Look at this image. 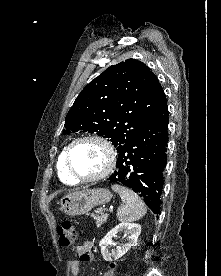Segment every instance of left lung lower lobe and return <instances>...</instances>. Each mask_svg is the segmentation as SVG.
Segmentation results:
<instances>
[{
  "instance_id": "1",
  "label": "left lung lower lobe",
  "mask_w": 221,
  "mask_h": 276,
  "mask_svg": "<svg viewBox=\"0 0 221 276\" xmlns=\"http://www.w3.org/2000/svg\"><path fill=\"white\" fill-rule=\"evenodd\" d=\"M167 104L142 125L119 151L117 171L108 180L121 183L141 196L146 205L160 214L164 168L167 164Z\"/></svg>"
}]
</instances>
